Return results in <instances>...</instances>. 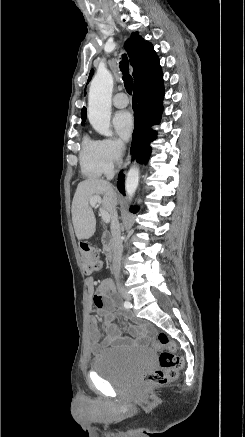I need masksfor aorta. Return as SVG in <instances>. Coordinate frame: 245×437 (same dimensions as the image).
<instances>
[{"label":"aorta","mask_w":245,"mask_h":437,"mask_svg":"<svg viewBox=\"0 0 245 437\" xmlns=\"http://www.w3.org/2000/svg\"><path fill=\"white\" fill-rule=\"evenodd\" d=\"M113 76L105 69H98L91 81L88 95V119L92 127L101 135L110 137L111 97ZM139 183V169L133 167L127 173L125 188L128 198H132Z\"/></svg>","instance_id":"obj_1"}]
</instances>
